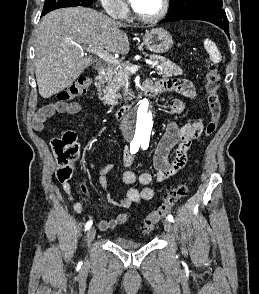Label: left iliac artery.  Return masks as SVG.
<instances>
[{"mask_svg": "<svg viewBox=\"0 0 259 294\" xmlns=\"http://www.w3.org/2000/svg\"><path fill=\"white\" fill-rule=\"evenodd\" d=\"M148 145L149 143L148 142H142L141 143V146L143 149H147L148 148ZM167 219L170 221V222H174V218L171 214L168 215Z\"/></svg>", "mask_w": 259, "mask_h": 294, "instance_id": "left-iliac-artery-1", "label": "left iliac artery"}]
</instances>
